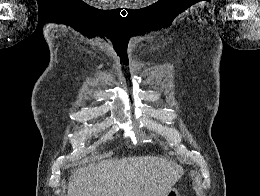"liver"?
<instances>
[{"instance_id":"6515ba94","label":"liver","mask_w":260,"mask_h":196,"mask_svg":"<svg viewBox=\"0 0 260 196\" xmlns=\"http://www.w3.org/2000/svg\"><path fill=\"white\" fill-rule=\"evenodd\" d=\"M184 170L167 158L134 156L77 168L68 196H166Z\"/></svg>"}]
</instances>
